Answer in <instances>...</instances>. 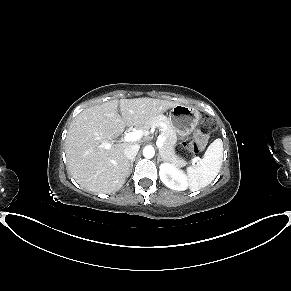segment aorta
<instances>
[{"label": "aorta", "mask_w": 291, "mask_h": 291, "mask_svg": "<svg viewBox=\"0 0 291 291\" xmlns=\"http://www.w3.org/2000/svg\"><path fill=\"white\" fill-rule=\"evenodd\" d=\"M154 155H155V150H154L153 146L147 145V146L144 147L143 156L145 158L151 159V158L154 157Z\"/></svg>", "instance_id": "1"}]
</instances>
